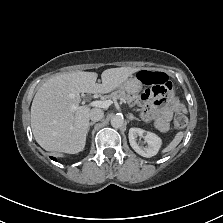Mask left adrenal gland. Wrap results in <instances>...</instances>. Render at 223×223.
I'll return each instance as SVG.
<instances>
[{
  "instance_id": "1",
  "label": "left adrenal gland",
  "mask_w": 223,
  "mask_h": 223,
  "mask_svg": "<svg viewBox=\"0 0 223 223\" xmlns=\"http://www.w3.org/2000/svg\"><path fill=\"white\" fill-rule=\"evenodd\" d=\"M133 119L137 120V121H140V119L134 117L132 113H129V120H133Z\"/></svg>"
}]
</instances>
